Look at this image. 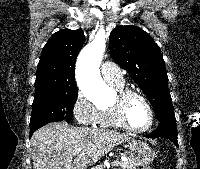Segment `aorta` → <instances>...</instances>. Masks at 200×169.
Wrapping results in <instances>:
<instances>
[{
    "instance_id": "obj_1",
    "label": "aorta",
    "mask_w": 200,
    "mask_h": 169,
    "mask_svg": "<svg viewBox=\"0 0 200 169\" xmlns=\"http://www.w3.org/2000/svg\"><path fill=\"white\" fill-rule=\"evenodd\" d=\"M105 49V37L96 36L82 49L76 64L78 86L82 93L93 102L105 99L110 92L99 72Z\"/></svg>"
}]
</instances>
